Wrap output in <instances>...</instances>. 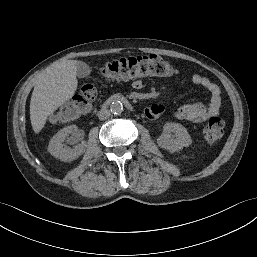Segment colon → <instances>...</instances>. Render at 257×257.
<instances>
[{
  "mask_svg": "<svg viewBox=\"0 0 257 257\" xmlns=\"http://www.w3.org/2000/svg\"><path fill=\"white\" fill-rule=\"evenodd\" d=\"M173 71L171 64L158 55H140L115 59L101 68L102 74L109 80L138 81L149 76H167ZM96 98V89L86 81L72 100L63 104L53 116L57 121H71L87 113ZM224 122L221 118H211L203 128L208 141H216L223 136Z\"/></svg>",
  "mask_w": 257,
  "mask_h": 257,
  "instance_id": "1",
  "label": "colon"
}]
</instances>
